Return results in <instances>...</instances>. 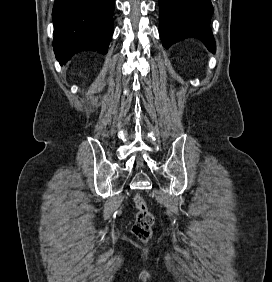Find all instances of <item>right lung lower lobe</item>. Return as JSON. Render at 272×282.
I'll return each mask as SVG.
<instances>
[{
    "mask_svg": "<svg viewBox=\"0 0 272 282\" xmlns=\"http://www.w3.org/2000/svg\"><path fill=\"white\" fill-rule=\"evenodd\" d=\"M113 13L114 0H55L53 48L60 64L82 51L106 54Z\"/></svg>",
    "mask_w": 272,
    "mask_h": 282,
    "instance_id": "1",
    "label": "right lung lower lobe"
}]
</instances>
